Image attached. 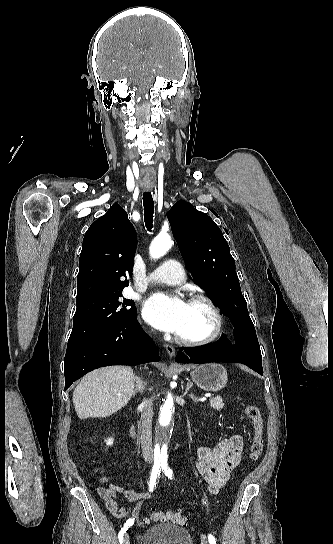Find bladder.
<instances>
[{
    "label": "bladder",
    "mask_w": 333,
    "mask_h": 544,
    "mask_svg": "<svg viewBox=\"0 0 333 544\" xmlns=\"http://www.w3.org/2000/svg\"><path fill=\"white\" fill-rule=\"evenodd\" d=\"M139 544H194L185 528L160 524L147 528L139 538Z\"/></svg>",
    "instance_id": "1"
}]
</instances>
